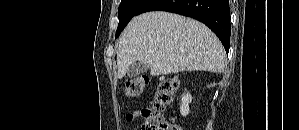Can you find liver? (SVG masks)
<instances>
[{"label": "liver", "mask_w": 299, "mask_h": 130, "mask_svg": "<svg viewBox=\"0 0 299 130\" xmlns=\"http://www.w3.org/2000/svg\"><path fill=\"white\" fill-rule=\"evenodd\" d=\"M148 64L150 75L225 68L226 53L217 36L196 20L163 11L134 17L121 34L117 48V77L134 62Z\"/></svg>", "instance_id": "1"}]
</instances>
